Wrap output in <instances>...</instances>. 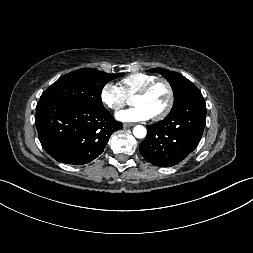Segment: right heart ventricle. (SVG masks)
<instances>
[{
	"label": "right heart ventricle",
	"instance_id": "right-heart-ventricle-1",
	"mask_svg": "<svg viewBox=\"0 0 253 253\" xmlns=\"http://www.w3.org/2000/svg\"><path fill=\"white\" fill-rule=\"evenodd\" d=\"M154 79H156L154 75L133 73L122 78L119 85L129 97L133 96L138 90Z\"/></svg>",
	"mask_w": 253,
	"mask_h": 253
}]
</instances>
